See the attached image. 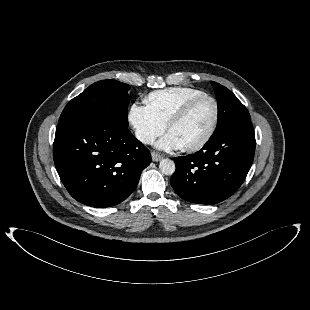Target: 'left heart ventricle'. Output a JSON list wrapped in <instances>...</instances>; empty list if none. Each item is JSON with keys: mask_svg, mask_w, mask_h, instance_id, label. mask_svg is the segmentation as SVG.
<instances>
[{"mask_svg": "<svg viewBox=\"0 0 310 310\" xmlns=\"http://www.w3.org/2000/svg\"><path fill=\"white\" fill-rule=\"evenodd\" d=\"M214 115V106L210 100L197 103L187 116L173 126L174 133L182 146L198 142L208 131Z\"/></svg>", "mask_w": 310, "mask_h": 310, "instance_id": "1", "label": "left heart ventricle"}]
</instances>
